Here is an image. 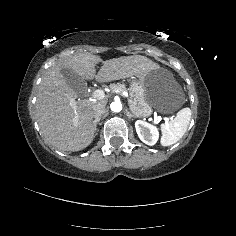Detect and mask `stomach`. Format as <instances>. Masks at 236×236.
Wrapping results in <instances>:
<instances>
[{"label":"stomach","instance_id":"obj_1","mask_svg":"<svg viewBox=\"0 0 236 236\" xmlns=\"http://www.w3.org/2000/svg\"><path fill=\"white\" fill-rule=\"evenodd\" d=\"M129 92L130 109L136 117H148L154 109L172 113L185 101L180 85L163 68L149 72L143 79L132 77Z\"/></svg>","mask_w":236,"mask_h":236}]
</instances>
